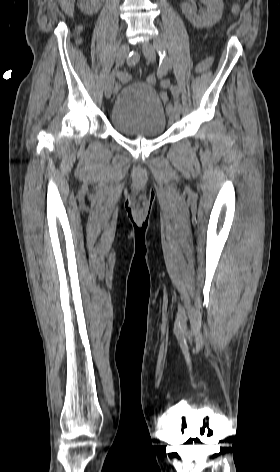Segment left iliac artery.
Returning <instances> with one entry per match:
<instances>
[{
  "instance_id": "obj_1",
  "label": "left iliac artery",
  "mask_w": 280,
  "mask_h": 472,
  "mask_svg": "<svg viewBox=\"0 0 280 472\" xmlns=\"http://www.w3.org/2000/svg\"><path fill=\"white\" fill-rule=\"evenodd\" d=\"M155 47H156V50H157V52L160 56V64L162 65V67L164 69H171L172 63L166 55L164 43L162 41H157L155 43ZM171 92H172V96L174 98V105L180 111L182 109V106H181V103L179 101V94H180L179 88L175 86L171 89Z\"/></svg>"
}]
</instances>
